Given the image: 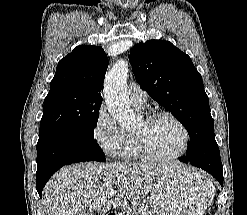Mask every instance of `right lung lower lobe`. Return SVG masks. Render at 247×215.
<instances>
[{"label":"right lung lower lobe","instance_id":"98d812e1","mask_svg":"<svg viewBox=\"0 0 247 215\" xmlns=\"http://www.w3.org/2000/svg\"><path fill=\"white\" fill-rule=\"evenodd\" d=\"M39 135L36 189L40 197L46 182L62 166L77 162L106 160L94 139L86 138L79 132L52 129Z\"/></svg>","mask_w":247,"mask_h":215}]
</instances>
